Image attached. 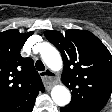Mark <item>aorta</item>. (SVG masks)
<instances>
[{"label":"aorta","instance_id":"obj_1","mask_svg":"<svg viewBox=\"0 0 112 112\" xmlns=\"http://www.w3.org/2000/svg\"><path fill=\"white\" fill-rule=\"evenodd\" d=\"M44 63L52 70L59 71L62 68V58L58 50L48 43H43L40 50ZM51 97L58 106H66L71 100L70 91L64 85H55L51 91Z\"/></svg>","mask_w":112,"mask_h":112}]
</instances>
